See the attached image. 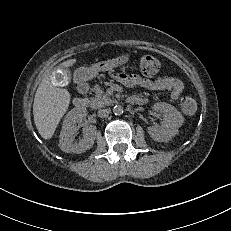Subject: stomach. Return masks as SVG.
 Masks as SVG:
<instances>
[{
	"label": "stomach",
	"mask_w": 231,
	"mask_h": 231,
	"mask_svg": "<svg viewBox=\"0 0 231 231\" xmlns=\"http://www.w3.org/2000/svg\"><path fill=\"white\" fill-rule=\"evenodd\" d=\"M130 60L129 54L118 56L114 59L98 62L91 67H80L75 72V77L79 81H87L97 76L101 71H111L112 69L125 65Z\"/></svg>",
	"instance_id": "obj_1"
}]
</instances>
